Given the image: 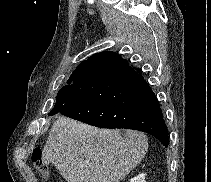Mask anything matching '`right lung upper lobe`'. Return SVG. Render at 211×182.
<instances>
[{
	"instance_id": "cb5924a9",
	"label": "right lung upper lobe",
	"mask_w": 211,
	"mask_h": 182,
	"mask_svg": "<svg viewBox=\"0 0 211 182\" xmlns=\"http://www.w3.org/2000/svg\"><path fill=\"white\" fill-rule=\"evenodd\" d=\"M85 63H86V61L82 62V63L79 65V66L82 67V70H83V68H84V66H85Z\"/></svg>"
}]
</instances>
